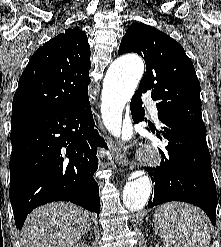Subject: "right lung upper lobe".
I'll return each mask as SVG.
<instances>
[{
    "label": "right lung upper lobe",
    "mask_w": 221,
    "mask_h": 247,
    "mask_svg": "<svg viewBox=\"0 0 221 247\" xmlns=\"http://www.w3.org/2000/svg\"><path fill=\"white\" fill-rule=\"evenodd\" d=\"M90 45L81 29L69 28L40 47L23 71L11 120L71 108L88 98Z\"/></svg>",
    "instance_id": "cb5924a9"
}]
</instances>
